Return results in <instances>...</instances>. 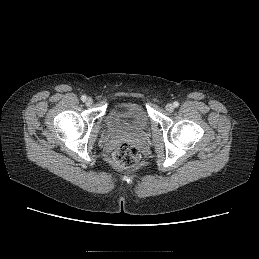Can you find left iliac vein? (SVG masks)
Segmentation results:
<instances>
[{"label": "left iliac vein", "mask_w": 259, "mask_h": 259, "mask_svg": "<svg viewBox=\"0 0 259 259\" xmlns=\"http://www.w3.org/2000/svg\"><path fill=\"white\" fill-rule=\"evenodd\" d=\"M165 109L168 111V112H172L174 110V105L171 104V103H168L166 106H165Z\"/></svg>", "instance_id": "obj_1"}]
</instances>
